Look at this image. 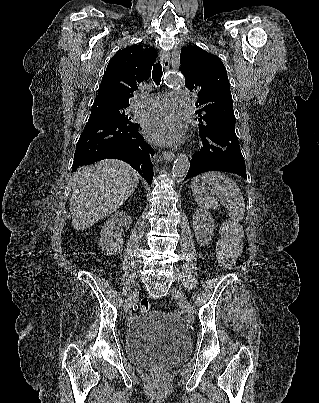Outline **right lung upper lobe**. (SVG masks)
Here are the masks:
<instances>
[{
	"label": "right lung upper lobe",
	"instance_id": "right-lung-upper-lobe-1",
	"mask_svg": "<svg viewBox=\"0 0 319 403\" xmlns=\"http://www.w3.org/2000/svg\"><path fill=\"white\" fill-rule=\"evenodd\" d=\"M156 57L154 49L137 44L119 50L108 63L93 104L128 107L137 84L149 79Z\"/></svg>",
	"mask_w": 319,
	"mask_h": 403
}]
</instances>
